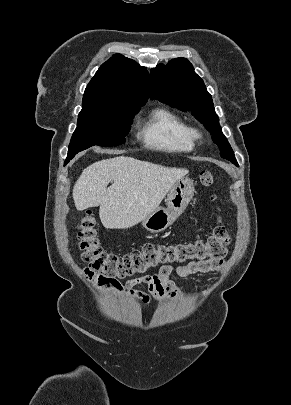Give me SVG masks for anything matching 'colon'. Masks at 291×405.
<instances>
[{"instance_id": "1", "label": "colon", "mask_w": 291, "mask_h": 405, "mask_svg": "<svg viewBox=\"0 0 291 405\" xmlns=\"http://www.w3.org/2000/svg\"><path fill=\"white\" fill-rule=\"evenodd\" d=\"M200 182L204 186L214 183L210 171H202ZM77 237L82 259L88 264L85 273L104 289L120 291V278L143 274L159 266L222 259L231 237L222 225H218L206 239L178 243H147L126 254L105 251L99 240L96 220L86 212L77 226Z\"/></svg>"}]
</instances>
